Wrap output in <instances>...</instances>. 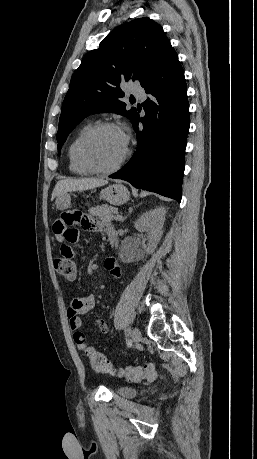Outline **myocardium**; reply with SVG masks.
<instances>
[{
    "instance_id": "1",
    "label": "myocardium",
    "mask_w": 257,
    "mask_h": 459,
    "mask_svg": "<svg viewBox=\"0 0 257 459\" xmlns=\"http://www.w3.org/2000/svg\"><path fill=\"white\" fill-rule=\"evenodd\" d=\"M106 129H118L119 130V126L112 122H101V123L95 124L86 131V133L81 137L77 145L76 154H77L79 163L84 168L94 173H103V174L113 173L117 171L124 164L128 156L130 155V149L128 146H126L125 152L121 156V158L114 165L110 167L98 166L87 157L86 147L88 143L91 141V139L95 135H97L99 132L106 130Z\"/></svg>"
}]
</instances>
